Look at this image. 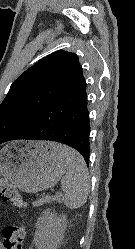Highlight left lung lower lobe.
I'll return each instance as SVG.
<instances>
[{
    "instance_id": "obj_1",
    "label": "left lung lower lobe",
    "mask_w": 135,
    "mask_h": 249,
    "mask_svg": "<svg viewBox=\"0 0 135 249\" xmlns=\"http://www.w3.org/2000/svg\"><path fill=\"white\" fill-rule=\"evenodd\" d=\"M89 135L90 119L87 108L86 82L84 81L41 109L33 119L30 128L9 140L30 139L61 142L78 150L88 165Z\"/></svg>"
}]
</instances>
